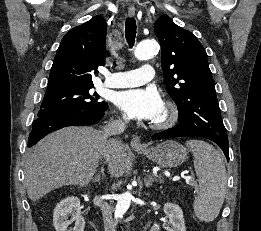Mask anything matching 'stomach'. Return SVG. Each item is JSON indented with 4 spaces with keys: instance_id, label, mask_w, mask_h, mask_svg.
<instances>
[{
    "instance_id": "obj_1",
    "label": "stomach",
    "mask_w": 261,
    "mask_h": 231,
    "mask_svg": "<svg viewBox=\"0 0 261 231\" xmlns=\"http://www.w3.org/2000/svg\"><path fill=\"white\" fill-rule=\"evenodd\" d=\"M136 151L165 168L177 167L187 158L186 148L173 140H167L156 146L137 149Z\"/></svg>"
}]
</instances>
